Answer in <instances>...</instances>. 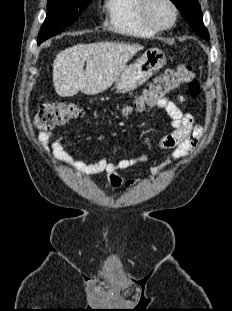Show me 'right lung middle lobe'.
Listing matches in <instances>:
<instances>
[{
	"label": "right lung middle lobe",
	"mask_w": 232,
	"mask_h": 311,
	"mask_svg": "<svg viewBox=\"0 0 232 311\" xmlns=\"http://www.w3.org/2000/svg\"><path fill=\"white\" fill-rule=\"evenodd\" d=\"M92 0H48L47 16L38 35L37 43L60 33L74 22Z\"/></svg>",
	"instance_id": "1"
}]
</instances>
